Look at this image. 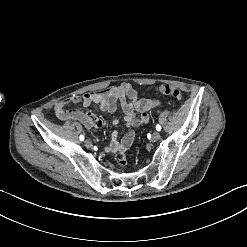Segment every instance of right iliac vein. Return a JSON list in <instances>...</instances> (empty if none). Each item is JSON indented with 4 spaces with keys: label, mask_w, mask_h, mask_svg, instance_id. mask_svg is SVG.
Listing matches in <instances>:
<instances>
[{
    "label": "right iliac vein",
    "mask_w": 247,
    "mask_h": 247,
    "mask_svg": "<svg viewBox=\"0 0 247 247\" xmlns=\"http://www.w3.org/2000/svg\"><path fill=\"white\" fill-rule=\"evenodd\" d=\"M85 146H86L87 148L92 147V141H91L90 139H86V140H85Z\"/></svg>",
    "instance_id": "obj_1"
}]
</instances>
